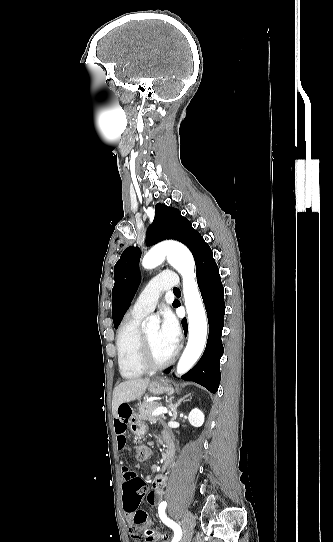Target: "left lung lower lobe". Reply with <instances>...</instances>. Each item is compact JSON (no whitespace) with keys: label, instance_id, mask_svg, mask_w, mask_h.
Masks as SVG:
<instances>
[{"label":"left lung lower lobe","instance_id":"1","mask_svg":"<svg viewBox=\"0 0 333 542\" xmlns=\"http://www.w3.org/2000/svg\"><path fill=\"white\" fill-rule=\"evenodd\" d=\"M195 263L197 282L207 311L209 336L201 359L182 376V379L194 381L207 388L211 393H216L221 377L220 358L224 352L221 341L225 314L224 288L212 250L207 243L201 246ZM174 302V307L180 306L178 300ZM182 326L186 335L188 327L185 318L182 320ZM171 368L167 369L165 373H168Z\"/></svg>","mask_w":333,"mask_h":542}]
</instances>
